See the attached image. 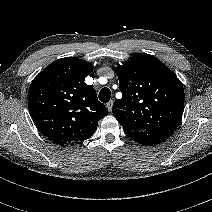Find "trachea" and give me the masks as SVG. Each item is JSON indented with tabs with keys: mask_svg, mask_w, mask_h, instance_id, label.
<instances>
[{
	"mask_svg": "<svg viewBox=\"0 0 212 212\" xmlns=\"http://www.w3.org/2000/svg\"><path fill=\"white\" fill-rule=\"evenodd\" d=\"M111 98V91L109 88L104 87L101 89V91L99 92V100L103 103H107L109 102Z\"/></svg>",
	"mask_w": 212,
	"mask_h": 212,
	"instance_id": "obj_1",
	"label": "trachea"
}]
</instances>
